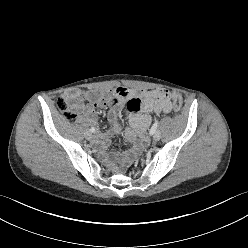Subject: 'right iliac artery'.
<instances>
[{
  "instance_id": "obj_1",
  "label": "right iliac artery",
  "mask_w": 248,
  "mask_h": 248,
  "mask_svg": "<svg viewBox=\"0 0 248 248\" xmlns=\"http://www.w3.org/2000/svg\"><path fill=\"white\" fill-rule=\"evenodd\" d=\"M90 131H91V132H94V131H95V129H94V128H91V129H90Z\"/></svg>"
}]
</instances>
